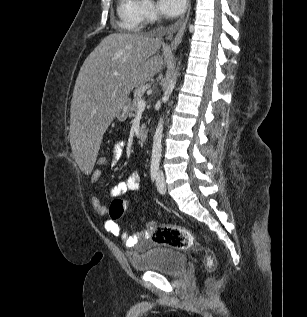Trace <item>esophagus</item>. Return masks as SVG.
<instances>
[{
  "instance_id": "obj_1",
  "label": "esophagus",
  "mask_w": 307,
  "mask_h": 317,
  "mask_svg": "<svg viewBox=\"0 0 307 317\" xmlns=\"http://www.w3.org/2000/svg\"><path fill=\"white\" fill-rule=\"evenodd\" d=\"M187 5H188V8H187V13H186L185 19L183 20V22L181 24V27H180L178 33L176 34L175 38L172 40L171 44L169 45V49L170 50L176 49V47L179 45V43L182 40L184 31H185V28H186V24H187V21H188V18H189L190 7H191V1L190 0H188V4Z\"/></svg>"
}]
</instances>
